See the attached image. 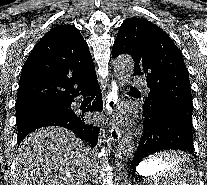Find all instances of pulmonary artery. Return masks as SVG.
<instances>
[{
	"instance_id": "1",
	"label": "pulmonary artery",
	"mask_w": 207,
	"mask_h": 185,
	"mask_svg": "<svg viewBox=\"0 0 207 185\" xmlns=\"http://www.w3.org/2000/svg\"><path fill=\"white\" fill-rule=\"evenodd\" d=\"M131 86H144V81H140V77H131Z\"/></svg>"
}]
</instances>
